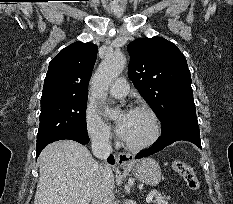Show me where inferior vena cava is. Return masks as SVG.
<instances>
[{
	"mask_svg": "<svg viewBox=\"0 0 233 204\" xmlns=\"http://www.w3.org/2000/svg\"><path fill=\"white\" fill-rule=\"evenodd\" d=\"M92 152L103 161L101 166V176L92 197V204H114V178L109 164L106 159L112 153V146L109 136L99 134L92 138Z\"/></svg>",
	"mask_w": 233,
	"mask_h": 204,
	"instance_id": "1",
	"label": "inferior vena cava"
}]
</instances>
